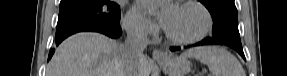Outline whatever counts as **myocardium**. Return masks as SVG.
Instances as JSON below:
<instances>
[{
    "label": "myocardium",
    "mask_w": 287,
    "mask_h": 76,
    "mask_svg": "<svg viewBox=\"0 0 287 76\" xmlns=\"http://www.w3.org/2000/svg\"><path fill=\"white\" fill-rule=\"evenodd\" d=\"M178 7H195V8H197L204 16V19H205L204 26L197 34H195L191 37H187V38H179V37L173 36L165 28L164 34H165L166 38L169 41H171L175 44H180V45L193 44V43H196V42L202 40L210 32V30L213 26V18H212L210 11L208 10V8L203 3L199 2V1H195V0H188V1L181 2Z\"/></svg>",
    "instance_id": "obj_1"
}]
</instances>
